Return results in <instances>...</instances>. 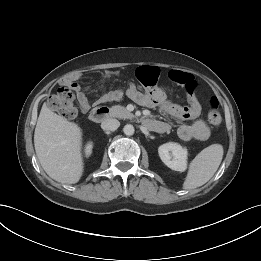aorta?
<instances>
[{
    "label": "aorta",
    "mask_w": 261,
    "mask_h": 261,
    "mask_svg": "<svg viewBox=\"0 0 261 261\" xmlns=\"http://www.w3.org/2000/svg\"><path fill=\"white\" fill-rule=\"evenodd\" d=\"M123 132L127 136H132L134 134V132H135V129H134L133 125L127 124L123 128Z\"/></svg>",
    "instance_id": "obj_1"
}]
</instances>
